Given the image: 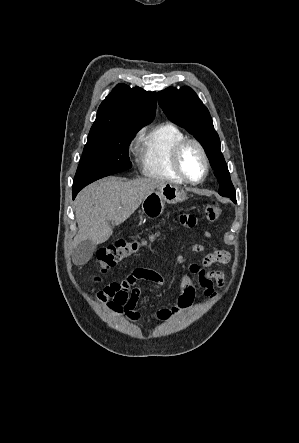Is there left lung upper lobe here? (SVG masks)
<instances>
[{"mask_svg": "<svg viewBox=\"0 0 299 443\" xmlns=\"http://www.w3.org/2000/svg\"><path fill=\"white\" fill-rule=\"evenodd\" d=\"M158 101L167 117L193 134L203 146L220 184L219 194L235 199V189L220 151L219 136L214 129L208 109L196 93L190 87L184 86L179 90L168 87L158 92Z\"/></svg>", "mask_w": 299, "mask_h": 443, "instance_id": "5c2ea615", "label": "left lung upper lobe"}]
</instances>
